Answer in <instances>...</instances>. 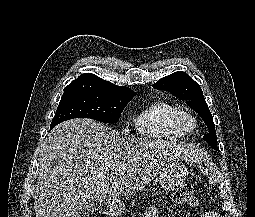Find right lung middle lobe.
Listing matches in <instances>:
<instances>
[{
	"label": "right lung middle lobe",
	"instance_id": "1",
	"mask_svg": "<svg viewBox=\"0 0 255 217\" xmlns=\"http://www.w3.org/2000/svg\"><path fill=\"white\" fill-rule=\"evenodd\" d=\"M135 94L92 91H64L51 126L74 118H90L104 123L118 122L123 109Z\"/></svg>",
	"mask_w": 255,
	"mask_h": 217
}]
</instances>
